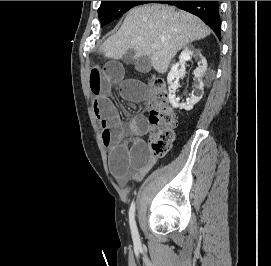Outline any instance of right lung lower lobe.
<instances>
[{"instance_id": "98d812e1", "label": "right lung lower lobe", "mask_w": 271, "mask_h": 266, "mask_svg": "<svg viewBox=\"0 0 271 266\" xmlns=\"http://www.w3.org/2000/svg\"><path fill=\"white\" fill-rule=\"evenodd\" d=\"M151 3L175 5L182 10L198 16L215 32L217 37L220 39L221 22L218 1H151Z\"/></svg>"}]
</instances>
